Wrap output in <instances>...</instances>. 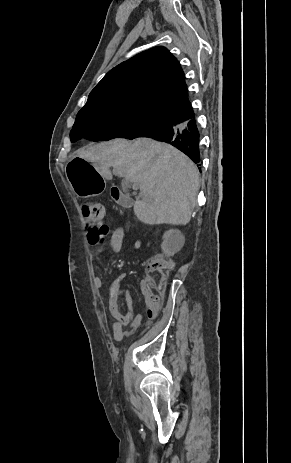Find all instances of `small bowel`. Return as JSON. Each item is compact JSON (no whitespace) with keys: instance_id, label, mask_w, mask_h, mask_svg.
<instances>
[{"instance_id":"obj_1","label":"small bowel","mask_w":291,"mask_h":463,"mask_svg":"<svg viewBox=\"0 0 291 463\" xmlns=\"http://www.w3.org/2000/svg\"><path fill=\"white\" fill-rule=\"evenodd\" d=\"M109 237V246L112 252L118 253L122 249V245L125 239V232L122 228H112L109 224H103L100 229H89L86 232L85 239L88 246L95 248L98 251H102L105 240ZM132 247L134 249H139L141 247V241L136 240L133 242ZM125 278L124 273H120L114 284L111 288L110 301L113 305L115 302V297L117 294V289L121 281ZM96 285L101 287L103 280L100 277L95 279ZM129 305H131V300L129 299ZM149 319H153L147 315ZM142 322V316L140 314H132L131 312L128 315L119 318L113 324V336L114 339L119 341L123 338V326L130 323L134 327H138Z\"/></svg>"}]
</instances>
